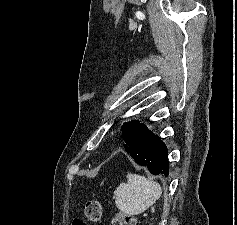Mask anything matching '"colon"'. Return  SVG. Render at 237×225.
Instances as JSON below:
<instances>
[{"label":"colon","mask_w":237,"mask_h":225,"mask_svg":"<svg viewBox=\"0 0 237 225\" xmlns=\"http://www.w3.org/2000/svg\"><path fill=\"white\" fill-rule=\"evenodd\" d=\"M85 216L74 218L72 225H88V222H98L102 216V206L98 201H88L85 205ZM111 225H136V219L133 215L118 214L112 221Z\"/></svg>","instance_id":"1"}]
</instances>
